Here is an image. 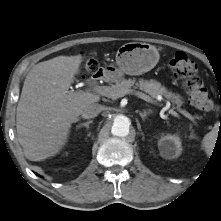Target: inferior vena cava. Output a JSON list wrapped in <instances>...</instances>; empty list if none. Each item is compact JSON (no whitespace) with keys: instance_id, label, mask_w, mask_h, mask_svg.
Listing matches in <instances>:
<instances>
[{"instance_id":"1","label":"inferior vena cava","mask_w":221,"mask_h":221,"mask_svg":"<svg viewBox=\"0 0 221 221\" xmlns=\"http://www.w3.org/2000/svg\"><path fill=\"white\" fill-rule=\"evenodd\" d=\"M102 111V106L98 103H92L85 106L81 112L84 119L95 118Z\"/></svg>"}]
</instances>
